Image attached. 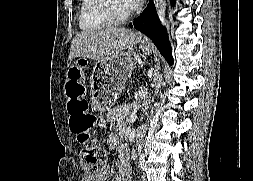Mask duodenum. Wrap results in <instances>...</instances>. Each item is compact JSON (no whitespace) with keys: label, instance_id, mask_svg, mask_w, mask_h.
Instances as JSON below:
<instances>
[{"label":"duodenum","instance_id":"duodenum-1","mask_svg":"<svg viewBox=\"0 0 253 181\" xmlns=\"http://www.w3.org/2000/svg\"><path fill=\"white\" fill-rule=\"evenodd\" d=\"M147 130L146 129H142L139 134H137V136H142L143 133H145Z\"/></svg>","mask_w":253,"mask_h":181}]
</instances>
